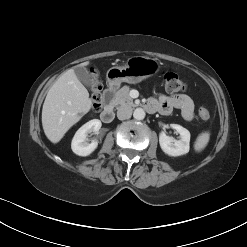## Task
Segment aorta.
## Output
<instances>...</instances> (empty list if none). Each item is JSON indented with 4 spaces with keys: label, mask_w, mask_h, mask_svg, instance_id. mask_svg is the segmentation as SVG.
<instances>
[{
    "label": "aorta",
    "mask_w": 247,
    "mask_h": 247,
    "mask_svg": "<svg viewBox=\"0 0 247 247\" xmlns=\"http://www.w3.org/2000/svg\"><path fill=\"white\" fill-rule=\"evenodd\" d=\"M136 120H143L145 118V111L142 108H136L133 113Z\"/></svg>",
    "instance_id": "1"
}]
</instances>
